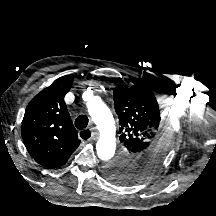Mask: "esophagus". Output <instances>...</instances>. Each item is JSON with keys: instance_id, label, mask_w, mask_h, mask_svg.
<instances>
[{"instance_id": "1", "label": "esophagus", "mask_w": 216, "mask_h": 216, "mask_svg": "<svg viewBox=\"0 0 216 216\" xmlns=\"http://www.w3.org/2000/svg\"><path fill=\"white\" fill-rule=\"evenodd\" d=\"M86 134V133H90V138L87 141H92V140H96L98 138V134L95 131H92V129H84L79 131L78 136L79 138H81L82 134Z\"/></svg>"}]
</instances>
